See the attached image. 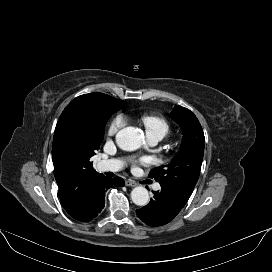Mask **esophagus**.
Returning <instances> with one entry per match:
<instances>
[{"mask_svg":"<svg viewBox=\"0 0 272 272\" xmlns=\"http://www.w3.org/2000/svg\"><path fill=\"white\" fill-rule=\"evenodd\" d=\"M125 184H126V186H129V187H135L136 186V183L133 180H126Z\"/></svg>","mask_w":272,"mask_h":272,"instance_id":"1","label":"esophagus"}]
</instances>
